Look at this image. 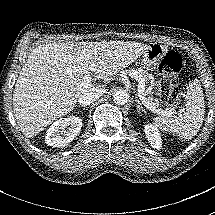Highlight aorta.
Here are the masks:
<instances>
[{"label":"aorta","instance_id":"aorta-1","mask_svg":"<svg viewBox=\"0 0 215 215\" xmlns=\"http://www.w3.org/2000/svg\"><path fill=\"white\" fill-rule=\"evenodd\" d=\"M113 101L115 104L124 105L129 101V94L126 90L118 89L113 94Z\"/></svg>","mask_w":215,"mask_h":215}]
</instances>
